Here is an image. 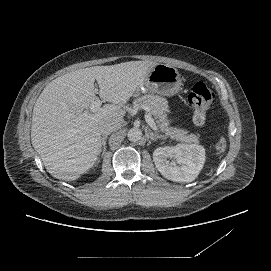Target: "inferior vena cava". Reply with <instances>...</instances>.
I'll use <instances>...</instances> for the list:
<instances>
[{"instance_id":"602c4592","label":"inferior vena cava","mask_w":271,"mask_h":271,"mask_svg":"<svg viewBox=\"0 0 271 271\" xmlns=\"http://www.w3.org/2000/svg\"><path fill=\"white\" fill-rule=\"evenodd\" d=\"M121 122L119 121H110L101 126L100 133L103 135H108L113 131H116L120 128Z\"/></svg>"}]
</instances>
